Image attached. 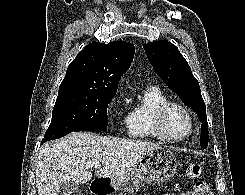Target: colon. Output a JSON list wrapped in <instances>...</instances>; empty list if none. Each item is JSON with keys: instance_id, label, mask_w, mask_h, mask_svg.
Wrapping results in <instances>:
<instances>
[{"instance_id": "1", "label": "colon", "mask_w": 245, "mask_h": 195, "mask_svg": "<svg viewBox=\"0 0 245 195\" xmlns=\"http://www.w3.org/2000/svg\"><path fill=\"white\" fill-rule=\"evenodd\" d=\"M201 167L199 165H193L188 169V176L191 178H197L201 174ZM76 195V194H73ZM191 195H213L210 187L203 181H198L194 184Z\"/></svg>"}]
</instances>
